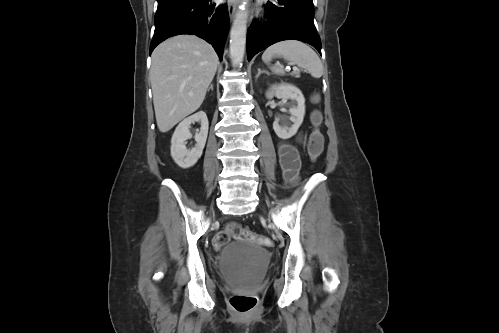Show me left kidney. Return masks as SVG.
<instances>
[{
  "label": "left kidney",
  "instance_id": "obj_1",
  "mask_svg": "<svg viewBox=\"0 0 499 333\" xmlns=\"http://www.w3.org/2000/svg\"><path fill=\"white\" fill-rule=\"evenodd\" d=\"M276 96L284 103L291 100L289 108L290 117H277L273 122V129L281 139H289L294 136L301 126L305 115V98L297 87L287 83L273 85L266 93L268 99Z\"/></svg>",
  "mask_w": 499,
  "mask_h": 333
}]
</instances>
